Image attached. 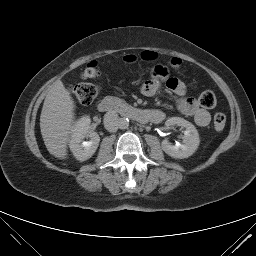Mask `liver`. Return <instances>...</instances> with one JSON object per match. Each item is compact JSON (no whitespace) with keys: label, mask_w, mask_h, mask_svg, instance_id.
Returning <instances> with one entry per match:
<instances>
[{"label":"liver","mask_w":256,"mask_h":256,"mask_svg":"<svg viewBox=\"0 0 256 256\" xmlns=\"http://www.w3.org/2000/svg\"><path fill=\"white\" fill-rule=\"evenodd\" d=\"M74 109V100L62 81H55L44 100L40 129L47 150L56 158H67V144L74 126Z\"/></svg>","instance_id":"1"}]
</instances>
